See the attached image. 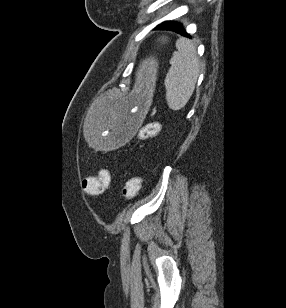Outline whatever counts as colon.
I'll return each instance as SVG.
<instances>
[{
	"instance_id": "colon-1",
	"label": "colon",
	"mask_w": 286,
	"mask_h": 308,
	"mask_svg": "<svg viewBox=\"0 0 286 308\" xmlns=\"http://www.w3.org/2000/svg\"><path fill=\"white\" fill-rule=\"evenodd\" d=\"M159 129L158 123H149L139 132L141 139H146L154 135ZM142 183L140 175L129 177L123 184L122 195L125 199H133L138 194ZM110 184V173L103 169L97 177H87L82 181V188L92 194L103 193Z\"/></svg>"
}]
</instances>
